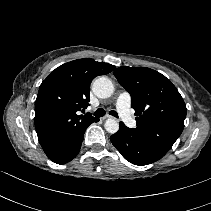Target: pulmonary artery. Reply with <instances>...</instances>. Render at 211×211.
I'll use <instances>...</instances> for the list:
<instances>
[{
	"label": "pulmonary artery",
	"mask_w": 211,
	"mask_h": 211,
	"mask_svg": "<svg viewBox=\"0 0 211 211\" xmlns=\"http://www.w3.org/2000/svg\"><path fill=\"white\" fill-rule=\"evenodd\" d=\"M131 96L128 92H122L118 95L116 100V109L123 120V122L128 127H135L136 121L131 113Z\"/></svg>",
	"instance_id": "pulmonary-artery-1"
}]
</instances>
